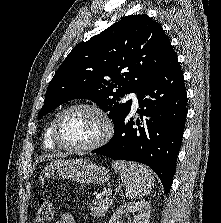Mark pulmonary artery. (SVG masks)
Wrapping results in <instances>:
<instances>
[{"label": "pulmonary artery", "mask_w": 221, "mask_h": 223, "mask_svg": "<svg viewBox=\"0 0 221 223\" xmlns=\"http://www.w3.org/2000/svg\"><path fill=\"white\" fill-rule=\"evenodd\" d=\"M125 97H126V99L132 100V102H133L132 109H133V111H136L139 106V101H138L136 93H130V94L126 95Z\"/></svg>", "instance_id": "obj_1"}]
</instances>
